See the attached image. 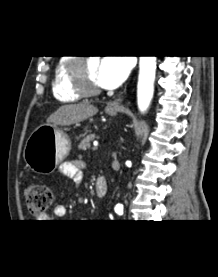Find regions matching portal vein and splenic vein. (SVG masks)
Returning <instances> with one entry per match:
<instances>
[{"label": "portal vein and splenic vein", "instance_id": "1", "mask_svg": "<svg viewBox=\"0 0 218 277\" xmlns=\"http://www.w3.org/2000/svg\"><path fill=\"white\" fill-rule=\"evenodd\" d=\"M94 151L98 149V144H93V148H92Z\"/></svg>", "mask_w": 218, "mask_h": 277}]
</instances>
